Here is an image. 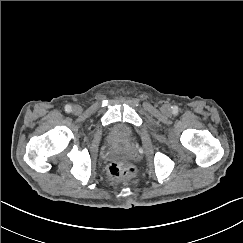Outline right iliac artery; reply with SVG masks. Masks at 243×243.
<instances>
[{
  "instance_id": "82829eb1",
  "label": "right iliac artery",
  "mask_w": 243,
  "mask_h": 243,
  "mask_svg": "<svg viewBox=\"0 0 243 243\" xmlns=\"http://www.w3.org/2000/svg\"><path fill=\"white\" fill-rule=\"evenodd\" d=\"M65 111H66L67 113H70V112L72 111V107H71V105H66V106H65Z\"/></svg>"
}]
</instances>
